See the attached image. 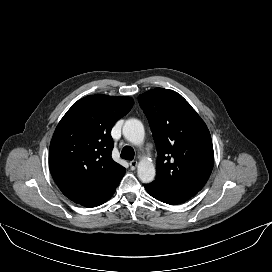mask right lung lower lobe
I'll return each mask as SVG.
<instances>
[{"mask_svg":"<svg viewBox=\"0 0 272 272\" xmlns=\"http://www.w3.org/2000/svg\"><path fill=\"white\" fill-rule=\"evenodd\" d=\"M125 174V169L120 171L113 179L99 192L94 194L92 197L80 202L79 204L84 207H95L103 204L111 198L114 194L117 186Z\"/></svg>","mask_w":272,"mask_h":272,"instance_id":"98d812e1","label":"right lung lower lobe"}]
</instances>
